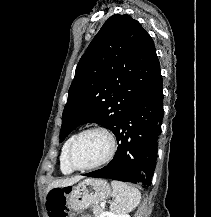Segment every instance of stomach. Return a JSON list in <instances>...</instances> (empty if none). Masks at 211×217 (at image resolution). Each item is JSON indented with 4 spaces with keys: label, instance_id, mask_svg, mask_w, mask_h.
Here are the masks:
<instances>
[{
    "label": "stomach",
    "instance_id": "obj_1",
    "mask_svg": "<svg viewBox=\"0 0 211 217\" xmlns=\"http://www.w3.org/2000/svg\"><path fill=\"white\" fill-rule=\"evenodd\" d=\"M66 188L69 191L67 204L74 211L97 205L111 194L108 182L98 178H88L77 186H66Z\"/></svg>",
    "mask_w": 211,
    "mask_h": 217
}]
</instances>
